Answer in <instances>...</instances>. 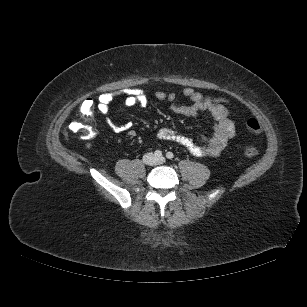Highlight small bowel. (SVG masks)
Instances as JSON below:
<instances>
[{"mask_svg": "<svg viewBox=\"0 0 307 307\" xmlns=\"http://www.w3.org/2000/svg\"><path fill=\"white\" fill-rule=\"evenodd\" d=\"M183 95L191 101V104H180L176 101V94L172 91L158 90L155 97L159 101L170 104V109L179 115L194 116L199 112H206L214 122V132L211 137H202L194 140L191 137L182 135L169 127H162L157 131V137L161 140L175 142L186 148L196 157H216L218 156L228 141L235 135V124L230 118L228 108L223 104L213 103L210 99L205 98L200 92L192 88H186ZM114 99L113 93H103L98 97L97 109L105 116L107 125L115 132L130 131L131 126L116 125L109 117L110 104ZM126 107L149 105V98L141 89H133L127 93L124 100Z\"/></svg>", "mask_w": 307, "mask_h": 307, "instance_id": "obj_1", "label": "small bowel"}]
</instances>
